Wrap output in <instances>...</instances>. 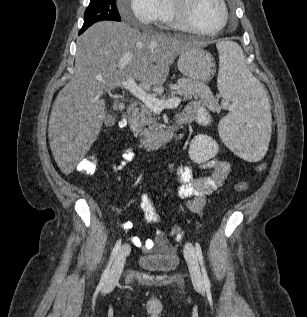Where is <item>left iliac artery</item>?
I'll use <instances>...</instances> for the list:
<instances>
[{"label": "left iliac artery", "mask_w": 307, "mask_h": 317, "mask_svg": "<svg viewBox=\"0 0 307 317\" xmlns=\"http://www.w3.org/2000/svg\"><path fill=\"white\" fill-rule=\"evenodd\" d=\"M195 249H196V254L198 256V259H199V262H200V265H201L205 287L210 288V281H209L206 269L204 267L202 249H201L199 243H197V242L195 244Z\"/></svg>", "instance_id": "1"}]
</instances>
